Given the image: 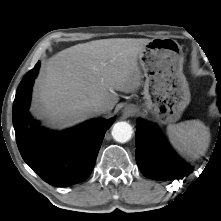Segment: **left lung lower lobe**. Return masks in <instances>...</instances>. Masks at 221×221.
<instances>
[{
	"instance_id": "obj_1",
	"label": "left lung lower lobe",
	"mask_w": 221,
	"mask_h": 221,
	"mask_svg": "<svg viewBox=\"0 0 221 221\" xmlns=\"http://www.w3.org/2000/svg\"><path fill=\"white\" fill-rule=\"evenodd\" d=\"M218 106L221 110V86L218 85ZM221 120V118H220ZM221 143V135L217 143ZM136 161L141 172L159 181L182 179L192 172V168L178 158L162 139L156 125L139 120L136 126Z\"/></svg>"
}]
</instances>
